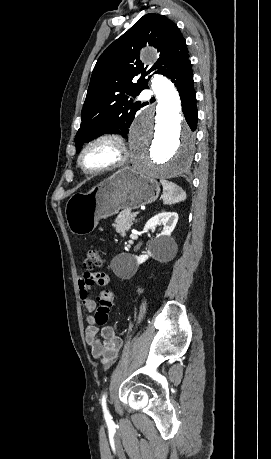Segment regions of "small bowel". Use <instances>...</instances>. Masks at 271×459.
<instances>
[{"label":"small bowel","instance_id":"c3829d8e","mask_svg":"<svg viewBox=\"0 0 271 459\" xmlns=\"http://www.w3.org/2000/svg\"><path fill=\"white\" fill-rule=\"evenodd\" d=\"M109 282L103 271H87L78 280L79 296L86 314L88 326L85 330L86 342L93 358L108 365L115 361L122 349L123 341L111 326L99 327L90 313L96 308L95 301L89 296V290L95 285L105 286Z\"/></svg>","mask_w":271,"mask_h":459}]
</instances>
